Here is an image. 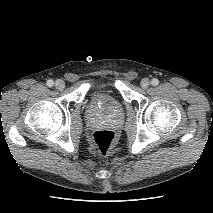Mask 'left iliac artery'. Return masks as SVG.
<instances>
[{
  "label": "left iliac artery",
  "instance_id": "left-iliac-artery-1",
  "mask_svg": "<svg viewBox=\"0 0 213 213\" xmlns=\"http://www.w3.org/2000/svg\"><path fill=\"white\" fill-rule=\"evenodd\" d=\"M151 84H152L153 86H157V85L159 84V80L156 79V78H153L152 81H151Z\"/></svg>",
  "mask_w": 213,
  "mask_h": 213
}]
</instances>
